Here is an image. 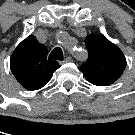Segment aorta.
<instances>
[{
  "mask_svg": "<svg viewBox=\"0 0 135 135\" xmlns=\"http://www.w3.org/2000/svg\"><path fill=\"white\" fill-rule=\"evenodd\" d=\"M62 44H63L67 49H69V50L73 53V55L76 56V57H78L81 53H83V50H81V49H79V48L75 51L72 47H70V45H69V38H68V37H65V38L62 40Z\"/></svg>",
  "mask_w": 135,
  "mask_h": 135,
  "instance_id": "762f6f07",
  "label": "aorta"
}]
</instances>
